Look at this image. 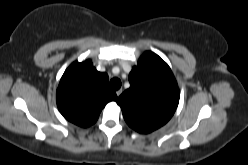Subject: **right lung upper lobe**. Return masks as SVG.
<instances>
[{
    "instance_id": "right-lung-upper-lobe-1",
    "label": "right lung upper lobe",
    "mask_w": 248,
    "mask_h": 165,
    "mask_svg": "<svg viewBox=\"0 0 248 165\" xmlns=\"http://www.w3.org/2000/svg\"><path fill=\"white\" fill-rule=\"evenodd\" d=\"M108 82V75L98 72L91 60L72 63L56 92L59 111L65 119L81 127L94 124L105 105L117 99Z\"/></svg>"
}]
</instances>
